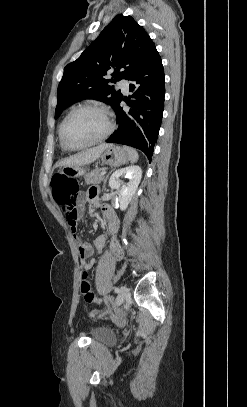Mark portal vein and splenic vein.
<instances>
[{"instance_id": "obj_1", "label": "portal vein and splenic vein", "mask_w": 247, "mask_h": 407, "mask_svg": "<svg viewBox=\"0 0 247 407\" xmlns=\"http://www.w3.org/2000/svg\"><path fill=\"white\" fill-rule=\"evenodd\" d=\"M105 174H106V171H105V170L100 173L101 176H103V175H105Z\"/></svg>"}]
</instances>
